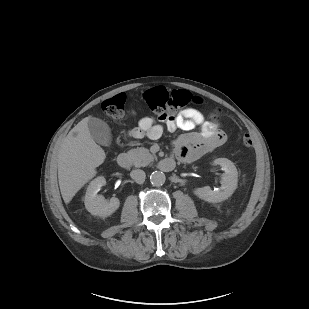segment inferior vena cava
<instances>
[{"instance_id": "602c4592", "label": "inferior vena cava", "mask_w": 309, "mask_h": 309, "mask_svg": "<svg viewBox=\"0 0 309 309\" xmlns=\"http://www.w3.org/2000/svg\"><path fill=\"white\" fill-rule=\"evenodd\" d=\"M131 178L138 184H142L145 181L146 174L143 170L135 169L130 173Z\"/></svg>"}]
</instances>
